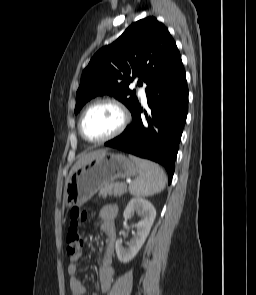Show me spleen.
I'll return each instance as SVG.
<instances>
[{
    "instance_id": "spleen-1",
    "label": "spleen",
    "mask_w": 256,
    "mask_h": 295,
    "mask_svg": "<svg viewBox=\"0 0 256 295\" xmlns=\"http://www.w3.org/2000/svg\"><path fill=\"white\" fill-rule=\"evenodd\" d=\"M129 157L139 168V177L129 185L130 194L137 197H146L164 190L167 179L163 169L158 164L132 155Z\"/></svg>"
}]
</instances>
